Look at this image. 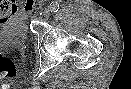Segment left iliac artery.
Segmentation results:
<instances>
[{"instance_id": "44dca946", "label": "left iliac artery", "mask_w": 131, "mask_h": 89, "mask_svg": "<svg viewBox=\"0 0 131 89\" xmlns=\"http://www.w3.org/2000/svg\"><path fill=\"white\" fill-rule=\"evenodd\" d=\"M50 9H51L52 12H57L59 10V4L57 2L51 3Z\"/></svg>"}]
</instances>
